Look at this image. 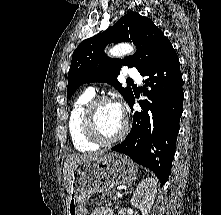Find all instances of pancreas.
<instances>
[{"mask_svg":"<svg viewBox=\"0 0 221 215\" xmlns=\"http://www.w3.org/2000/svg\"><path fill=\"white\" fill-rule=\"evenodd\" d=\"M114 195L110 192V193H103L102 195H97L96 198L94 199L96 205L98 206H102V205H106V206H110L111 205V197H113Z\"/></svg>","mask_w":221,"mask_h":215,"instance_id":"obj_1","label":"pancreas"}]
</instances>
